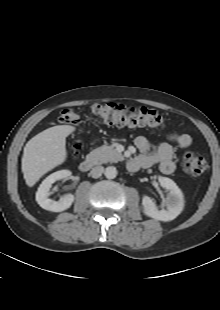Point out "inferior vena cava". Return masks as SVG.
Instances as JSON below:
<instances>
[{"label": "inferior vena cava", "instance_id": "inferior-vena-cava-1", "mask_svg": "<svg viewBox=\"0 0 220 310\" xmlns=\"http://www.w3.org/2000/svg\"><path fill=\"white\" fill-rule=\"evenodd\" d=\"M103 172H104V167L103 166H96V167L92 168V170L90 172V175L93 178H99L102 175Z\"/></svg>", "mask_w": 220, "mask_h": 310}]
</instances>
